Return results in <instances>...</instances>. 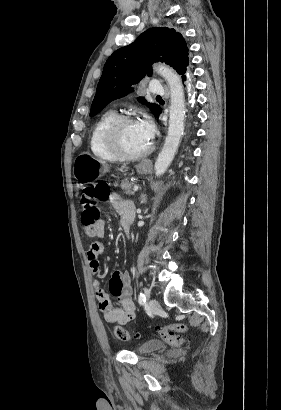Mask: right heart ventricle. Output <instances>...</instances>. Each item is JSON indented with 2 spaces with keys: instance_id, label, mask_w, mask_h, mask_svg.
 <instances>
[{
  "instance_id": "1",
  "label": "right heart ventricle",
  "mask_w": 281,
  "mask_h": 410,
  "mask_svg": "<svg viewBox=\"0 0 281 410\" xmlns=\"http://www.w3.org/2000/svg\"><path fill=\"white\" fill-rule=\"evenodd\" d=\"M116 116V113L112 110L104 112L91 129L89 147L92 154L98 159L105 161H116L119 159L110 151L105 142L106 129Z\"/></svg>"
}]
</instances>
